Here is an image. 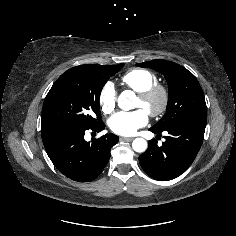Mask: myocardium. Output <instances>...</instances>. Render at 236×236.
I'll return each instance as SVG.
<instances>
[{"mask_svg": "<svg viewBox=\"0 0 236 236\" xmlns=\"http://www.w3.org/2000/svg\"><path fill=\"white\" fill-rule=\"evenodd\" d=\"M138 97L144 102L147 113L152 117L162 116L168 108L170 99L168 88L160 84L138 93ZM154 100H158V105L151 107L150 104Z\"/></svg>", "mask_w": 236, "mask_h": 236, "instance_id": "obj_1", "label": "myocardium"}]
</instances>
